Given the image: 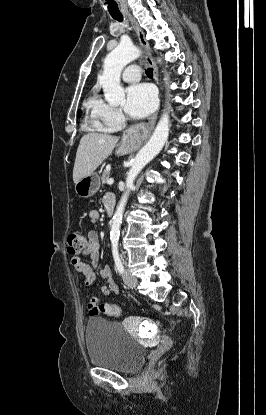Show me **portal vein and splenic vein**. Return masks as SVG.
Segmentation results:
<instances>
[{
	"mask_svg": "<svg viewBox=\"0 0 266 415\" xmlns=\"http://www.w3.org/2000/svg\"><path fill=\"white\" fill-rule=\"evenodd\" d=\"M113 183H114V179L113 178H110V179L107 180V184L108 185H112Z\"/></svg>",
	"mask_w": 266,
	"mask_h": 415,
	"instance_id": "18ae733b",
	"label": "portal vein and splenic vein"
}]
</instances>
